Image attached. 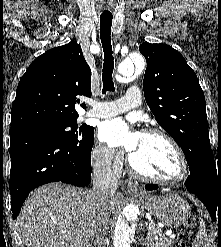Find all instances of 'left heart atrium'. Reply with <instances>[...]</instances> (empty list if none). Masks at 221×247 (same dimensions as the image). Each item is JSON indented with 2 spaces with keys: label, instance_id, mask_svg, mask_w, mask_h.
Instances as JSON below:
<instances>
[{
  "label": "left heart atrium",
  "instance_id": "left-heart-atrium-1",
  "mask_svg": "<svg viewBox=\"0 0 221 247\" xmlns=\"http://www.w3.org/2000/svg\"><path fill=\"white\" fill-rule=\"evenodd\" d=\"M141 134L132 130L121 118H116L100 126L98 138L109 146L121 147L130 154L136 147Z\"/></svg>",
  "mask_w": 221,
  "mask_h": 247
}]
</instances>
